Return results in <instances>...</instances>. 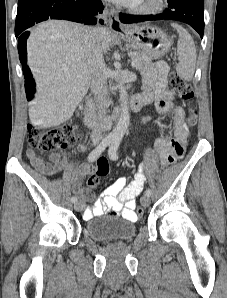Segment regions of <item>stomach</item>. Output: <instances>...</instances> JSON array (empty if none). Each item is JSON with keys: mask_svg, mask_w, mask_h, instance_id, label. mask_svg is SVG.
<instances>
[{"mask_svg": "<svg viewBox=\"0 0 227 298\" xmlns=\"http://www.w3.org/2000/svg\"><path fill=\"white\" fill-rule=\"evenodd\" d=\"M122 37L152 59L164 56L172 45V39L163 30L151 25L131 27L124 31Z\"/></svg>", "mask_w": 227, "mask_h": 298, "instance_id": "stomach-1", "label": "stomach"}]
</instances>
